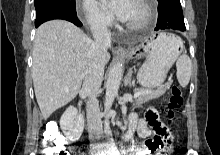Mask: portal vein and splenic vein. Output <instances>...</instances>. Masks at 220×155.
I'll return each instance as SVG.
<instances>
[{
	"instance_id": "obj_1",
	"label": "portal vein and splenic vein",
	"mask_w": 220,
	"mask_h": 155,
	"mask_svg": "<svg viewBox=\"0 0 220 155\" xmlns=\"http://www.w3.org/2000/svg\"><path fill=\"white\" fill-rule=\"evenodd\" d=\"M151 92H152L151 90H143V91L135 92V93H134V98H137V97H139V96L142 95V94L151 93Z\"/></svg>"
}]
</instances>
